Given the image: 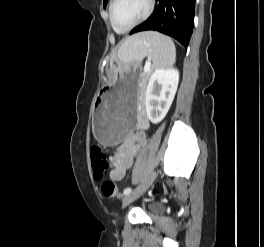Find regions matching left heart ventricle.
Masks as SVG:
<instances>
[{
    "label": "left heart ventricle",
    "mask_w": 264,
    "mask_h": 247,
    "mask_svg": "<svg viewBox=\"0 0 264 247\" xmlns=\"http://www.w3.org/2000/svg\"><path fill=\"white\" fill-rule=\"evenodd\" d=\"M147 10V0H118L114 18L119 27H127L139 20Z\"/></svg>",
    "instance_id": "1"
}]
</instances>
